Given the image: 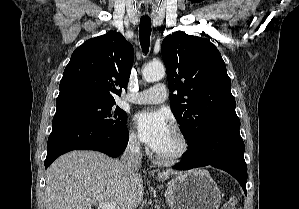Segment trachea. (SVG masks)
Returning a JSON list of instances; mask_svg holds the SVG:
<instances>
[{"mask_svg":"<svg viewBox=\"0 0 299 209\" xmlns=\"http://www.w3.org/2000/svg\"><path fill=\"white\" fill-rule=\"evenodd\" d=\"M151 35V19L149 17L140 18L139 38L143 52L145 54L149 51Z\"/></svg>","mask_w":299,"mask_h":209,"instance_id":"1","label":"trachea"}]
</instances>
